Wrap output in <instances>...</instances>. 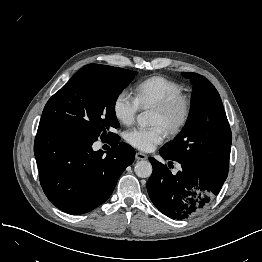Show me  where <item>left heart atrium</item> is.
Returning <instances> with one entry per match:
<instances>
[{
    "label": "left heart atrium",
    "instance_id": "left-heart-atrium-1",
    "mask_svg": "<svg viewBox=\"0 0 262 262\" xmlns=\"http://www.w3.org/2000/svg\"><path fill=\"white\" fill-rule=\"evenodd\" d=\"M167 132L163 125L152 127H134L125 132V140L133 147L142 151H151L156 145L162 143Z\"/></svg>",
    "mask_w": 262,
    "mask_h": 262
}]
</instances>
